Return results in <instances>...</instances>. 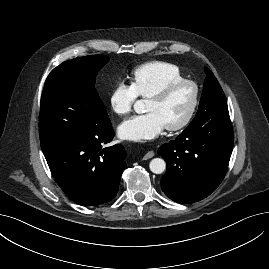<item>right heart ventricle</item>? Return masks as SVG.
I'll return each mask as SVG.
<instances>
[{"label":"right heart ventricle","instance_id":"right-heart-ventricle-1","mask_svg":"<svg viewBox=\"0 0 269 269\" xmlns=\"http://www.w3.org/2000/svg\"><path fill=\"white\" fill-rule=\"evenodd\" d=\"M179 79H184V76L176 65L152 61L132 71L131 85L139 97L148 98L167 83Z\"/></svg>","mask_w":269,"mask_h":269}]
</instances>
